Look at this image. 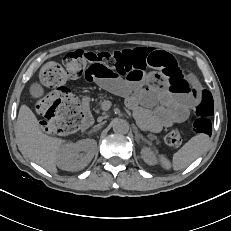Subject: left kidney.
Instances as JSON below:
<instances>
[{"label": "left kidney", "mask_w": 231, "mask_h": 231, "mask_svg": "<svg viewBox=\"0 0 231 231\" xmlns=\"http://www.w3.org/2000/svg\"><path fill=\"white\" fill-rule=\"evenodd\" d=\"M141 157L148 165H154L156 163L154 151L150 147L142 148Z\"/></svg>", "instance_id": "obj_1"}]
</instances>
